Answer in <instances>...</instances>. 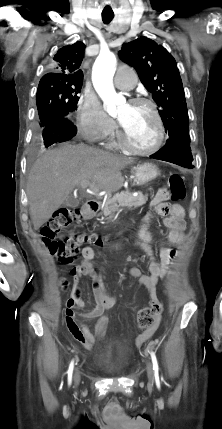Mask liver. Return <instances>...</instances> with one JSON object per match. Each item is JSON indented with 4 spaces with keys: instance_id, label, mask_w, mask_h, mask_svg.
Returning <instances> with one entry per match:
<instances>
[{
    "instance_id": "1",
    "label": "liver",
    "mask_w": 222,
    "mask_h": 429,
    "mask_svg": "<svg viewBox=\"0 0 222 429\" xmlns=\"http://www.w3.org/2000/svg\"><path fill=\"white\" fill-rule=\"evenodd\" d=\"M134 162L85 145L64 144L44 151L31 168L27 196L35 230L45 224L75 186L93 181L107 192L123 184L121 170Z\"/></svg>"
}]
</instances>
